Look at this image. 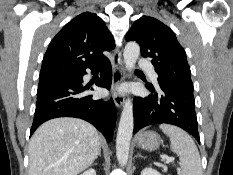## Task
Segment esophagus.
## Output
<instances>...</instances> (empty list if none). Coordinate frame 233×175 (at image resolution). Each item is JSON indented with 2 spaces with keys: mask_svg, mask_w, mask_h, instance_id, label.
<instances>
[{
  "mask_svg": "<svg viewBox=\"0 0 233 175\" xmlns=\"http://www.w3.org/2000/svg\"><path fill=\"white\" fill-rule=\"evenodd\" d=\"M125 78V70L121 51L117 48L113 55V76H112V96L115 105L121 108L124 103V96L119 91V85Z\"/></svg>",
  "mask_w": 233,
  "mask_h": 175,
  "instance_id": "1",
  "label": "esophagus"
}]
</instances>
